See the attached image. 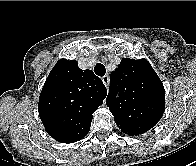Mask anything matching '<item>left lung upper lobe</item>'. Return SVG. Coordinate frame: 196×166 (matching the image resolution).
Instances as JSON below:
<instances>
[{
  "label": "left lung upper lobe",
  "mask_w": 196,
  "mask_h": 166,
  "mask_svg": "<svg viewBox=\"0 0 196 166\" xmlns=\"http://www.w3.org/2000/svg\"><path fill=\"white\" fill-rule=\"evenodd\" d=\"M106 104L119 129L136 136L150 130L161 119L164 87L147 60L123 58L110 75Z\"/></svg>",
  "instance_id": "1"
}]
</instances>
